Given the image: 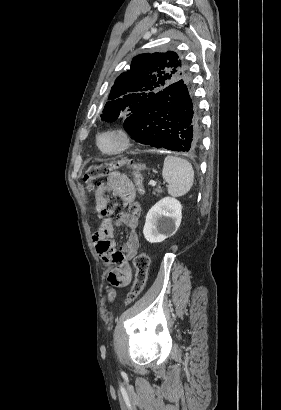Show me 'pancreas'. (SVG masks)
<instances>
[{"mask_svg": "<svg viewBox=\"0 0 281 410\" xmlns=\"http://www.w3.org/2000/svg\"><path fill=\"white\" fill-rule=\"evenodd\" d=\"M160 193H162L161 189H155V191L153 192V194H160Z\"/></svg>", "mask_w": 281, "mask_h": 410, "instance_id": "1", "label": "pancreas"}]
</instances>
